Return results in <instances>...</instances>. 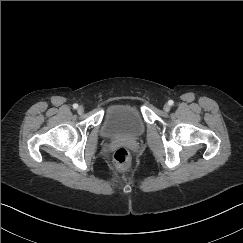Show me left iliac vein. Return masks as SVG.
Here are the masks:
<instances>
[{"label": "left iliac vein", "mask_w": 243, "mask_h": 243, "mask_svg": "<svg viewBox=\"0 0 243 243\" xmlns=\"http://www.w3.org/2000/svg\"><path fill=\"white\" fill-rule=\"evenodd\" d=\"M163 109L165 112H168L170 110V106L168 104H165Z\"/></svg>", "instance_id": "obj_1"}]
</instances>
